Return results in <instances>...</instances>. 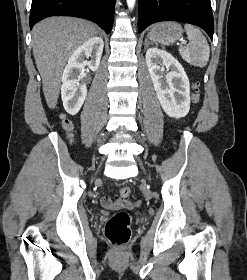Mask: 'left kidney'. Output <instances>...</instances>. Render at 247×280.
<instances>
[{
    "label": "left kidney",
    "mask_w": 247,
    "mask_h": 280,
    "mask_svg": "<svg viewBox=\"0 0 247 280\" xmlns=\"http://www.w3.org/2000/svg\"><path fill=\"white\" fill-rule=\"evenodd\" d=\"M146 64L164 112L173 118L185 117L190 109V83L182 65L168 52L150 48ZM170 70L165 78L162 73Z\"/></svg>",
    "instance_id": "left-kidney-1"
}]
</instances>
